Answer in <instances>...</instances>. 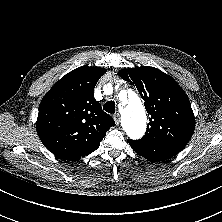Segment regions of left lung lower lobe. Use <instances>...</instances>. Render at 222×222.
I'll use <instances>...</instances> for the list:
<instances>
[{"instance_id":"1","label":"left lung lower lobe","mask_w":222,"mask_h":222,"mask_svg":"<svg viewBox=\"0 0 222 222\" xmlns=\"http://www.w3.org/2000/svg\"><path fill=\"white\" fill-rule=\"evenodd\" d=\"M132 149L149 160H165L179 153L185 145L174 143H148L128 140Z\"/></svg>"}]
</instances>
